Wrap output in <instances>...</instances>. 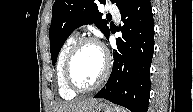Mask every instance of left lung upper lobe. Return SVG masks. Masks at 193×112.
Listing matches in <instances>:
<instances>
[{"label":"left lung upper lobe","mask_w":193,"mask_h":112,"mask_svg":"<svg viewBox=\"0 0 193 112\" xmlns=\"http://www.w3.org/2000/svg\"><path fill=\"white\" fill-rule=\"evenodd\" d=\"M106 0H56L52 7V21L49 29L50 52L54 65L64 42L79 26L94 23L101 32L108 37L110 28L102 14L98 11V4H105ZM119 10L123 9L130 0H111Z\"/></svg>","instance_id":"5c2ea615"}]
</instances>
